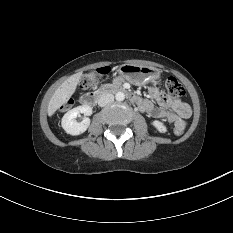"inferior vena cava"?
<instances>
[{"label": "inferior vena cava", "instance_id": "obj_1", "mask_svg": "<svg viewBox=\"0 0 233 233\" xmlns=\"http://www.w3.org/2000/svg\"><path fill=\"white\" fill-rule=\"evenodd\" d=\"M114 101V96L112 94H102L98 99V105L100 107H104L105 105Z\"/></svg>", "mask_w": 233, "mask_h": 233}]
</instances>
